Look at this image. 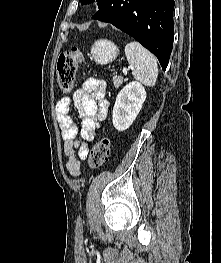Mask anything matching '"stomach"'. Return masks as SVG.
<instances>
[{
  "label": "stomach",
  "mask_w": 221,
  "mask_h": 263,
  "mask_svg": "<svg viewBox=\"0 0 221 263\" xmlns=\"http://www.w3.org/2000/svg\"><path fill=\"white\" fill-rule=\"evenodd\" d=\"M119 54L117 46L106 39H100L91 48V58L98 64H107L115 60Z\"/></svg>",
  "instance_id": "1"
}]
</instances>
